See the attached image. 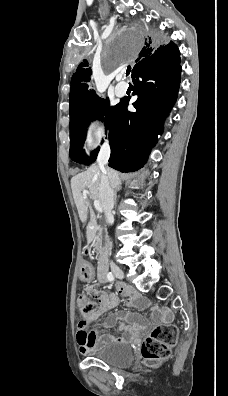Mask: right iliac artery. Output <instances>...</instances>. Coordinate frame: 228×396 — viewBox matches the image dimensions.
<instances>
[{
	"mask_svg": "<svg viewBox=\"0 0 228 396\" xmlns=\"http://www.w3.org/2000/svg\"><path fill=\"white\" fill-rule=\"evenodd\" d=\"M107 279H108L109 281H113V280H114V276H113V274H112L111 272H108V273H107Z\"/></svg>",
	"mask_w": 228,
	"mask_h": 396,
	"instance_id": "82829eb1",
	"label": "right iliac artery"
}]
</instances>
